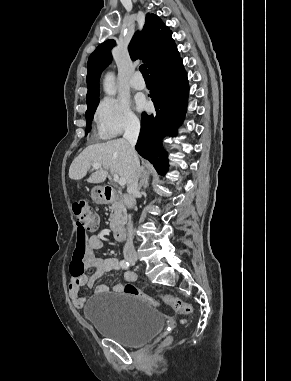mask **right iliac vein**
Here are the masks:
<instances>
[{"instance_id":"right-iliac-vein-1","label":"right iliac vein","mask_w":291,"mask_h":381,"mask_svg":"<svg viewBox=\"0 0 291 381\" xmlns=\"http://www.w3.org/2000/svg\"><path fill=\"white\" fill-rule=\"evenodd\" d=\"M126 259L131 262V263H136L137 260H138V257L136 254L132 253V254H127L126 256Z\"/></svg>"}]
</instances>
